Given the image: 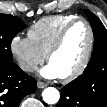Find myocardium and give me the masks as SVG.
Returning a JSON list of instances; mask_svg holds the SVG:
<instances>
[{"label": "myocardium", "mask_w": 107, "mask_h": 107, "mask_svg": "<svg viewBox=\"0 0 107 107\" xmlns=\"http://www.w3.org/2000/svg\"><path fill=\"white\" fill-rule=\"evenodd\" d=\"M78 23H83L87 27L88 35H89L88 46L85 55L83 57V60L78 66V68L75 71H73L71 74L60 77L63 83H69L79 78L85 72V70L87 69L90 63L94 50V44H95V34L90 22L84 18H76L71 22H69L68 24H66L63 27V29L60 31L58 37L56 38L55 42L53 43V45L51 46V48L49 49L46 55L47 61L50 62L51 57L62 47L69 30Z\"/></svg>", "instance_id": "1"}]
</instances>
